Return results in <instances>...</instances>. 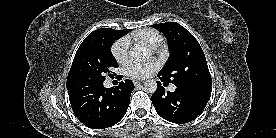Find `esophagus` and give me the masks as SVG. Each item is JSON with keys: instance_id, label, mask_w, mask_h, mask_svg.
Returning a JSON list of instances; mask_svg holds the SVG:
<instances>
[{"instance_id": "34e87169", "label": "esophagus", "mask_w": 276, "mask_h": 138, "mask_svg": "<svg viewBox=\"0 0 276 138\" xmlns=\"http://www.w3.org/2000/svg\"><path fill=\"white\" fill-rule=\"evenodd\" d=\"M133 83H134V85L136 86V85H138V84L143 83V81H140V80H134V81H133Z\"/></svg>"}]
</instances>
